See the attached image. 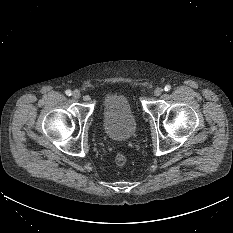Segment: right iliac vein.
Instances as JSON below:
<instances>
[{"instance_id": "1", "label": "right iliac vein", "mask_w": 233, "mask_h": 233, "mask_svg": "<svg viewBox=\"0 0 233 233\" xmlns=\"http://www.w3.org/2000/svg\"><path fill=\"white\" fill-rule=\"evenodd\" d=\"M73 97H74L75 99H79V98L81 97L80 91L75 90V91L73 92Z\"/></svg>"}]
</instances>
